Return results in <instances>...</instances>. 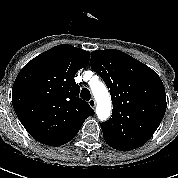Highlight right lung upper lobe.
Wrapping results in <instances>:
<instances>
[{"instance_id":"right-lung-upper-lobe-1","label":"right lung upper lobe","mask_w":178,"mask_h":178,"mask_svg":"<svg viewBox=\"0 0 178 178\" xmlns=\"http://www.w3.org/2000/svg\"><path fill=\"white\" fill-rule=\"evenodd\" d=\"M90 53L68 44L55 46L28 62L12 89L14 110L40 143L61 146L72 140L85 119L94 115L79 98L74 77L88 65Z\"/></svg>"}]
</instances>
